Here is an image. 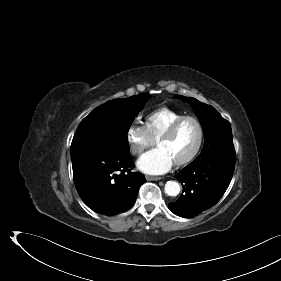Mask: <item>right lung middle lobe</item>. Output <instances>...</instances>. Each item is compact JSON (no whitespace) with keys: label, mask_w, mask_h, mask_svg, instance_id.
I'll use <instances>...</instances> for the list:
<instances>
[{"label":"right lung middle lobe","mask_w":281,"mask_h":281,"mask_svg":"<svg viewBox=\"0 0 281 281\" xmlns=\"http://www.w3.org/2000/svg\"><path fill=\"white\" fill-rule=\"evenodd\" d=\"M149 94L111 100L93 110L79 124L71 143L72 160L87 155L129 153L128 131Z\"/></svg>","instance_id":"obj_1"}]
</instances>
